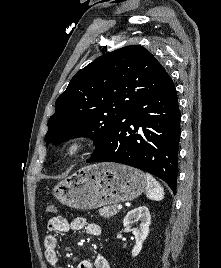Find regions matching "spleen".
Wrapping results in <instances>:
<instances>
[{
    "instance_id": "obj_1",
    "label": "spleen",
    "mask_w": 221,
    "mask_h": 268,
    "mask_svg": "<svg viewBox=\"0 0 221 268\" xmlns=\"http://www.w3.org/2000/svg\"><path fill=\"white\" fill-rule=\"evenodd\" d=\"M146 196L155 201H160L164 198V189L149 173L146 174Z\"/></svg>"
}]
</instances>
